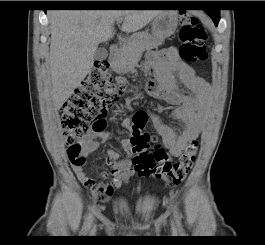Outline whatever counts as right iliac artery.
Returning a JSON list of instances; mask_svg holds the SVG:
<instances>
[{
    "instance_id": "1",
    "label": "right iliac artery",
    "mask_w": 265,
    "mask_h": 245,
    "mask_svg": "<svg viewBox=\"0 0 265 245\" xmlns=\"http://www.w3.org/2000/svg\"><path fill=\"white\" fill-rule=\"evenodd\" d=\"M92 221H93V215L91 212H89L83 226V230L85 233L90 229Z\"/></svg>"
}]
</instances>
